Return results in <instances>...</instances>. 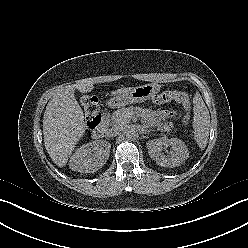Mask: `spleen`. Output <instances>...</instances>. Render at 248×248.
Returning <instances> with one entry per match:
<instances>
[{
    "mask_svg": "<svg viewBox=\"0 0 248 248\" xmlns=\"http://www.w3.org/2000/svg\"><path fill=\"white\" fill-rule=\"evenodd\" d=\"M193 104L194 139L198 146L201 149H204L207 145L209 137L210 115L201 95L198 92H196L193 97Z\"/></svg>",
    "mask_w": 248,
    "mask_h": 248,
    "instance_id": "spleen-1",
    "label": "spleen"
}]
</instances>
